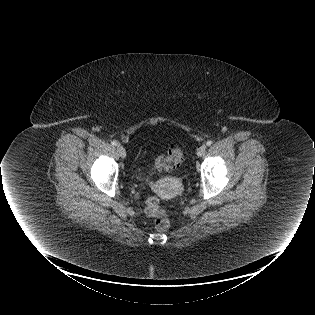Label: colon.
I'll list each match as a JSON object with an SVG mask.
<instances>
[{
  "label": "colon",
  "mask_w": 315,
  "mask_h": 315,
  "mask_svg": "<svg viewBox=\"0 0 315 315\" xmlns=\"http://www.w3.org/2000/svg\"><path fill=\"white\" fill-rule=\"evenodd\" d=\"M183 158V152L178 147L169 150L166 156L160 157L156 162V168L172 169L179 165ZM146 212L153 217L154 226L159 231H166L170 227V219L167 212L159 207L158 199L151 197L146 202Z\"/></svg>",
  "instance_id": "1"
}]
</instances>
